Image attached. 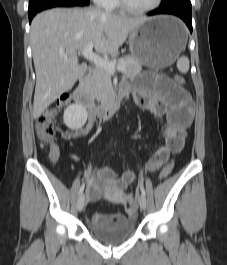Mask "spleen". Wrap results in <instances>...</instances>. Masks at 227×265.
<instances>
[{
	"label": "spleen",
	"instance_id": "obj_1",
	"mask_svg": "<svg viewBox=\"0 0 227 265\" xmlns=\"http://www.w3.org/2000/svg\"><path fill=\"white\" fill-rule=\"evenodd\" d=\"M177 68L181 73H187L189 70V59L188 57L182 56L177 60Z\"/></svg>",
	"mask_w": 227,
	"mask_h": 265
}]
</instances>
